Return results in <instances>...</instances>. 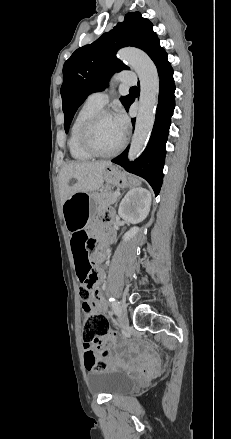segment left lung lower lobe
<instances>
[{
	"label": "left lung lower lobe",
	"mask_w": 231,
	"mask_h": 439,
	"mask_svg": "<svg viewBox=\"0 0 231 439\" xmlns=\"http://www.w3.org/2000/svg\"><path fill=\"white\" fill-rule=\"evenodd\" d=\"M153 61L160 78V89L155 122L148 145L142 155L134 162L127 160L129 148L111 161L122 166L126 171L146 179L157 196L163 181L166 142L175 107V84L173 69L167 60V53L164 49ZM133 102L134 99L131 97L125 107L127 111ZM134 123L135 119H132V124L134 125Z\"/></svg>",
	"instance_id": "obj_1"
}]
</instances>
